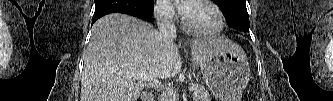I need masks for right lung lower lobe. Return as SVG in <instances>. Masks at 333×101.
<instances>
[{
    "label": "right lung lower lobe",
    "instance_id": "1",
    "mask_svg": "<svg viewBox=\"0 0 333 101\" xmlns=\"http://www.w3.org/2000/svg\"><path fill=\"white\" fill-rule=\"evenodd\" d=\"M95 13L92 24L109 13H124L145 20L152 19L154 4L147 0H95Z\"/></svg>",
    "mask_w": 333,
    "mask_h": 101
}]
</instances>
